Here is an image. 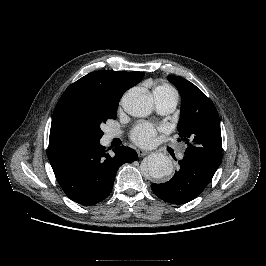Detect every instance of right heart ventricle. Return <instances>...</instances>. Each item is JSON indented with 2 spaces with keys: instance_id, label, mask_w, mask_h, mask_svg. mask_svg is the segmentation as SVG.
Here are the masks:
<instances>
[{
  "instance_id": "1",
  "label": "right heart ventricle",
  "mask_w": 266,
  "mask_h": 266,
  "mask_svg": "<svg viewBox=\"0 0 266 266\" xmlns=\"http://www.w3.org/2000/svg\"><path fill=\"white\" fill-rule=\"evenodd\" d=\"M156 94H176V91L168 84H161L154 89V96Z\"/></svg>"
}]
</instances>
